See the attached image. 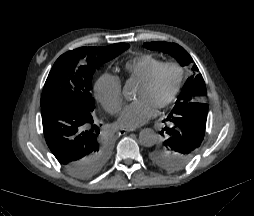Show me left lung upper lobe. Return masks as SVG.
I'll list each match as a JSON object with an SVG mask.
<instances>
[{
  "mask_svg": "<svg viewBox=\"0 0 254 216\" xmlns=\"http://www.w3.org/2000/svg\"><path fill=\"white\" fill-rule=\"evenodd\" d=\"M143 46L170 54L183 66L193 62L187 51L175 43L146 42ZM193 69L198 71L196 65ZM206 95V86L201 74L187 79L174 108L166 120H163L166 126L160 134L165 140L149 150V159L155 165L169 172L179 171L197 154L206 127Z\"/></svg>",
  "mask_w": 254,
  "mask_h": 216,
  "instance_id": "1",
  "label": "left lung upper lobe"
}]
</instances>
